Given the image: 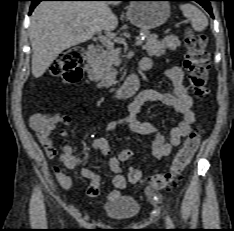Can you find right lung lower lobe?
<instances>
[{
  "label": "right lung lower lobe",
  "mask_w": 234,
  "mask_h": 231,
  "mask_svg": "<svg viewBox=\"0 0 234 231\" xmlns=\"http://www.w3.org/2000/svg\"><path fill=\"white\" fill-rule=\"evenodd\" d=\"M32 2V5L30 7L29 13L31 14L33 9L36 7L37 4H39L41 1H90V0H30ZM118 1V0H113Z\"/></svg>",
  "instance_id": "right-lung-lower-lobe-1"
}]
</instances>
